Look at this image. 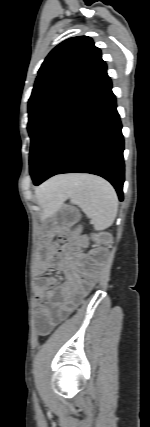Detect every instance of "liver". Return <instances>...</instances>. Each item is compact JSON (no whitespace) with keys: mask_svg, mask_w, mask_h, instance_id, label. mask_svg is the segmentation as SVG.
Wrapping results in <instances>:
<instances>
[{"mask_svg":"<svg viewBox=\"0 0 150 427\" xmlns=\"http://www.w3.org/2000/svg\"><path fill=\"white\" fill-rule=\"evenodd\" d=\"M65 178H66L65 176L52 178L51 180L47 181L39 189L36 190V196L38 198L40 206H42L45 209L50 207L51 204L49 203V201L46 198V192H47L48 188L52 184L58 183V182L64 180Z\"/></svg>","mask_w":150,"mask_h":427,"instance_id":"liver-1","label":"liver"}]
</instances>
